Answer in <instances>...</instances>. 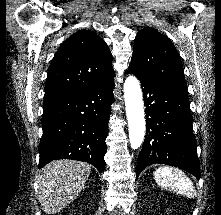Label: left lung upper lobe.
<instances>
[{"instance_id":"5c2ea615","label":"left lung upper lobe","mask_w":221,"mask_h":215,"mask_svg":"<svg viewBox=\"0 0 221 215\" xmlns=\"http://www.w3.org/2000/svg\"><path fill=\"white\" fill-rule=\"evenodd\" d=\"M128 69L161 86L187 94L184 71L177 50L166 36L152 27H146L136 35Z\"/></svg>"}]
</instances>
